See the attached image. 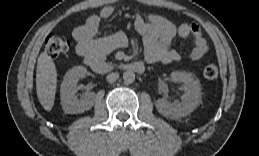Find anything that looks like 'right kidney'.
Wrapping results in <instances>:
<instances>
[{
    "label": "right kidney",
    "instance_id": "obj_1",
    "mask_svg": "<svg viewBox=\"0 0 259 156\" xmlns=\"http://www.w3.org/2000/svg\"><path fill=\"white\" fill-rule=\"evenodd\" d=\"M87 69L83 66H75L64 76L61 84V104L65 113L77 114L91 109L94 105V92H86L81 99L76 96L77 83L80 78H84Z\"/></svg>",
    "mask_w": 259,
    "mask_h": 156
}]
</instances>
